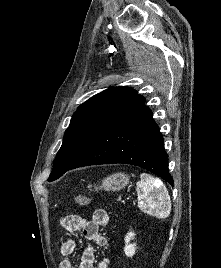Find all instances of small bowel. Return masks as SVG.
Instances as JSON below:
<instances>
[{
    "label": "small bowel",
    "mask_w": 221,
    "mask_h": 268,
    "mask_svg": "<svg viewBox=\"0 0 221 268\" xmlns=\"http://www.w3.org/2000/svg\"><path fill=\"white\" fill-rule=\"evenodd\" d=\"M109 222V215L105 210H96L90 219L79 215H68L61 220V226L69 232L81 231L83 235L96 242L102 247L107 246V239L101 234V228ZM76 241L72 238L65 240L60 245V254L68 257L74 253ZM59 268H75L70 259L66 258L61 261ZM78 268H110V260L104 257L97 262L94 258V250L89 247L85 250L81 263Z\"/></svg>",
    "instance_id": "1"
}]
</instances>
